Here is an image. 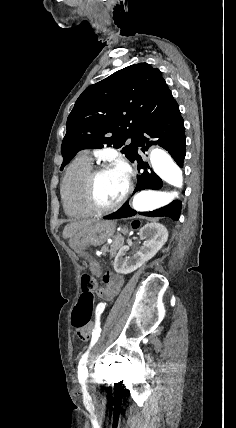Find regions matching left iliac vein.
<instances>
[{
	"instance_id": "obj_1",
	"label": "left iliac vein",
	"mask_w": 236,
	"mask_h": 428,
	"mask_svg": "<svg viewBox=\"0 0 236 428\" xmlns=\"http://www.w3.org/2000/svg\"><path fill=\"white\" fill-rule=\"evenodd\" d=\"M101 343L104 345L106 342L103 340ZM101 353H102V352H101V350H99V349H98V350H96L95 352H93V354H92V355H93V357H95V358H96V357H98L99 355H101Z\"/></svg>"
}]
</instances>
